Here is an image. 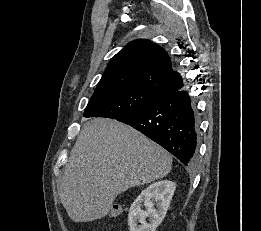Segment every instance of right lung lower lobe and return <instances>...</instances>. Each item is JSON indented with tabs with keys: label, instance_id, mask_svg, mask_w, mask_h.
Wrapping results in <instances>:
<instances>
[{
	"label": "right lung lower lobe",
	"instance_id": "1",
	"mask_svg": "<svg viewBox=\"0 0 261 231\" xmlns=\"http://www.w3.org/2000/svg\"><path fill=\"white\" fill-rule=\"evenodd\" d=\"M117 120L157 142L184 165L195 162L199 121L196 102L188 91L179 89Z\"/></svg>",
	"mask_w": 261,
	"mask_h": 231
}]
</instances>
